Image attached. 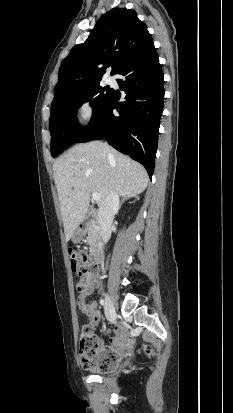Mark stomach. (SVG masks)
<instances>
[{"instance_id": "1", "label": "stomach", "mask_w": 233, "mask_h": 413, "mask_svg": "<svg viewBox=\"0 0 233 413\" xmlns=\"http://www.w3.org/2000/svg\"><path fill=\"white\" fill-rule=\"evenodd\" d=\"M84 235H85V231L77 228L71 237L72 241L74 243H79L81 239L84 237Z\"/></svg>"}]
</instances>
